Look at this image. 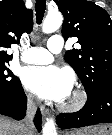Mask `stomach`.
Instances as JSON below:
<instances>
[{"instance_id":"obj_1","label":"stomach","mask_w":112,"mask_h":135,"mask_svg":"<svg viewBox=\"0 0 112 135\" xmlns=\"http://www.w3.org/2000/svg\"><path fill=\"white\" fill-rule=\"evenodd\" d=\"M65 135H112V125H97L80 131L66 133Z\"/></svg>"}]
</instances>
